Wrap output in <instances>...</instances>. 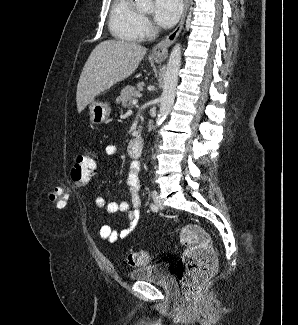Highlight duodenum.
<instances>
[{
	"instance_id": "duodenum-1",
	"label": "duodenum",
	"mask_w": 298,
	"mask_h": 325,
	"mask_svg": "<svg viewBox=\"0 0 298 325\" xmlns=\"http://www.w3.org/2000/svg\"><path fill=\"white\" fill-rule=\"evenodd\" d=\"M144 142L141 136H136L128 144V151L132 157L138 158L143 151Z\"/></svg>"
}]
</instances>
